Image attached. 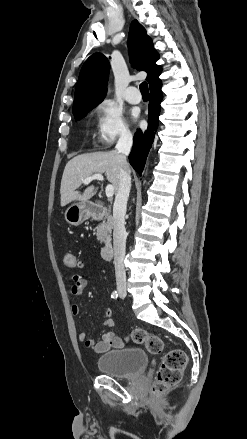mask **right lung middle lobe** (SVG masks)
I'll return each instance as SVG.
<instances>
[{"mask_svg":"<svg viewBox=\"0 0 247 439\" xmlns=\"http://www.w3.org/2000/svg\"><path fill=\"white\" fill-rule=\"evenodd\" d=\"M90 110H91V109H89V110H85V111H82V112H79V113L75 114V115H74V116H75V119L79 120V119L85 117L86 114H87Z\"/></svg>","mask_w":247,"mask_h":439,"instance_id":"dd1d6c3e","label":"right lung middle lobe"}]
</instances>
